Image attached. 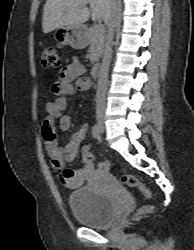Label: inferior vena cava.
Here are the masks:
<instances>
[{"mask_svg": "<svg viewBox=\"0 0 194 250\" xmlns=\"http://www.w3.org/2000/svg\"><path fill=\"white\" fill-rule=\"evenodd\" d=\"M105 23L107 25V34L105 38L103 59L100 67L96 93V117L99 121L104 118L105 114L108 72L112 57V43L117 26V4L115 0H112L109 15Z\"/></svg>", "mask_w": 194, "mask_h": 250, "instance_id": "1", "label": "inferior vena cava"}]
</instances>
